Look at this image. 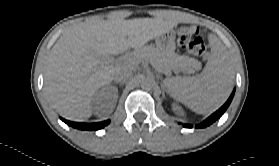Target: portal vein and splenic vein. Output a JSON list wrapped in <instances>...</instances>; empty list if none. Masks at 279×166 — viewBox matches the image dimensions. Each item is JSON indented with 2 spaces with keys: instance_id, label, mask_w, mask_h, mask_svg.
<instances>
[{
  "instance_id": "portal-vein-and-splenic-vein-1",
  "label": "portal vein and splenic vein",
  "mask_w": 279,
  "mask_h": 166,
  "mask_svg": "<svg viewBox=\"0 0 279 166\" xmlns=\"http://www.w3.org/2000/svg\"><path fill=\"white\" fill-rule=\"evenodd\" d=\"M105 60H106V62H108V63H110V62L121 63V62H123V61L127 62L128 60H130V58H129V57H123V58L114 60L113 58L108 57V58H106Z\"/></svg>"
}]
</instances>
